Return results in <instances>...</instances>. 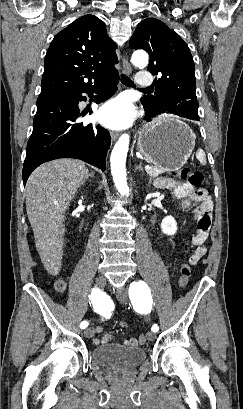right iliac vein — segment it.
<instances>
[{
  "instance_id": "obj_1",
  "label": "right iliac vein",
  "mask_w": 243,
  "mask_h": 409,
  "mask_svg": "<svg viewBox=\"0 0 243 409\" xmlns=\"http://www.w3.org/2000/svg\"><path fill=\"white\" fill-rule=\"evenodd\" d=\"M105 285H106V279H105V277L99 276V277L96 278L95 286H96L97 288L103 289V288L105 287ZM93 334H94V331H93L92 328H87V329H85V331H84V335H85V337H87V338L92 337Z\"/></svg>"
}]
</instances>
